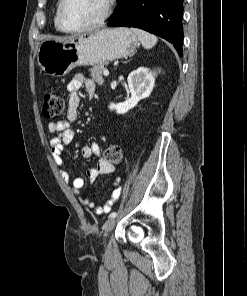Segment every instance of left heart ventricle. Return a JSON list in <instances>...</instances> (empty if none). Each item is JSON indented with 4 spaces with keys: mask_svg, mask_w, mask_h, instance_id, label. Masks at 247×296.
Here are the masks:
<instances>
[{
    "mask_svg": "<svg viewBox=\"0 0 247 296\" xmlns=\"http://www.w3.org/2000/svg\"><path fill=\"white\" fill-rule=\"evenodd\" d=\"M103 12V0H67L63 22L68 28H81L97 21Z\"/></svg>",
    "mask_w": 247,
    "mask_h": 296,
    "instance_id": "1",
    "label": "left heart ventricle"
}]
</instances>
